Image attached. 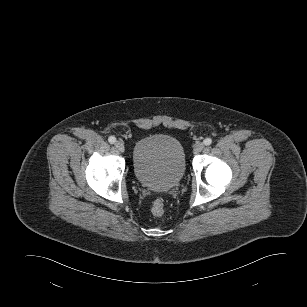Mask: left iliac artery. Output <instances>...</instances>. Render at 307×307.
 <instances>
[{
    "instance_id": "44dca946",
    "label": "left iliac artery",
    "mask_w": 307,
    "mask_h": 307,
    "mask_svg": "<svg viewBox=\"0 0 307 307\" xmlns=\"http://www.w3.org/2000/svg\"><path fill=\"white\" fill-rule=\"evenodd\" d=\"M211 143H212V139H211V138H206V139L204 140V144H205L206 146L210 145Z\"/></svg>"
}]
</instances>
